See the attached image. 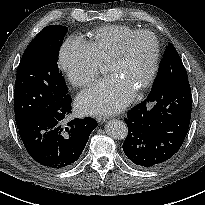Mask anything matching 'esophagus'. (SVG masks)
Returning <instances> with one entry per match:
<instances>
[{
	"mask_svg": "<svg viewBox=\"0 0 205 205\" xmlns=\"http://www.w3.org/2000/svg\"><path fill=\"white\" fill-rule=\"evenodd\" d=\"M107 119H108V118L102 117V116H97V117H96V121H97L98 123H103V122H105Z\"/></svg>",
	"mask_w": 205,
	"mask_h": 205,
	"instance_id": "34e87169",
	"label": "esophagus"
}]
</instances>
